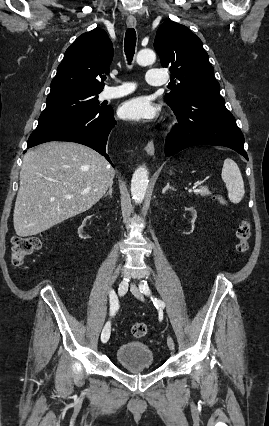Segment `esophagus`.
Here are the masks:
<instances>
[{"mask_svg":"<svg viewBox=\"0 0 269 426\" xmlns=\"http://www.w3.org/2000/svg\"><path fill=\"white\" fill-rule=\"evenodd\" d=\"M127 26L128 27H135L136 26V18L134 16H128L127 18ZM145 150L147 152L148 155L153 156L155 153V148H154V144L152 141L148 142V144L145 147Z\"/></svg>","mask_w":269,"mask_h":426,"instance_id":"1","label":"esophagus"}]
</instances>
